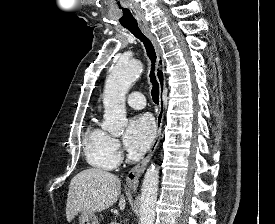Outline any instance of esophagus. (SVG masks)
Segmentation results:
<instances>
[{
    "instance_id": "obj_1",
    "label": "esophagus",
    "mask_w": 275,
    "mask_h": 224,
    "mask_svg": "<svg viewBox=\"0 0 275 224\" xmlns=\"http://www.w3.org/2000/svg\"><path fill=\"white\" fill-rule=\"evenodd\" d=\"M140 27L143 33L151 40L156 50L157 60H156L155 74L157 77V81L159 83L160 93H159V111L156 117V128H157L156 137L151 145V148L147 156L143 158L136 166H134L126 176V184L132 188H136L138 186L139 179L143 174V172L145 171L151 157L153 156L158 146L160 136H161V128H162V122H163V116H164L165 96H166L165 64H164L162 49L159 43L157 42L156 37L150 31L148 23L146 21H142L140 22Z\"/></svg>"
}]
</instances>
